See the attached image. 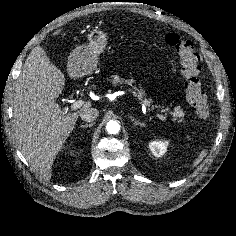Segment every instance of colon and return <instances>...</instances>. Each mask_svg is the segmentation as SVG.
Returning <instances> with one entry per match:
<instances>
[{"mask_svg": "<svg viewBox=\"0 0 236 236\" xmlns=\"http://www.w3.org/2000/svg\"><path fill=\"white\" fill-rule=\"evenodd\" d=\"M166 44L173 48L179 56L181 72L184 76V87L189 104L200 118L210 115V106L202 91L199 79V56L194 44L177 34H168Z\"/></svg>", "mask_w": 236, "mask_h": 236, "instance_id": "1", "label": "colon"}]
</instances>
